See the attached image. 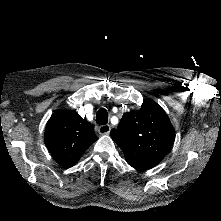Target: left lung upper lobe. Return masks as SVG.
<instances>
[{
  "instance_id": "obj_1",
  "label": "left lung upper lobe",
  "mask_w": 221,
  "mask_h": 221,
  "mask_svg": "<svg viewBox=\"0 0 221 221\" xmlns=\"http://www.w3.org/2000/svg\"><path fill=\"white\" fill-rule=\"evenodd\" d=\"M111 137L122 149L127 163L138 170L156 166L170 150L175 130L161 106L145 101L138 111L122 116Z\"/></svg>"
}]
</instances>
